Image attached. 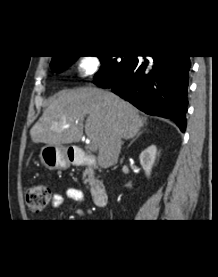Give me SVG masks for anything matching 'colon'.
Returning <instances> with one entry per match:
<instances>
[{
  "instance_id": "5ec220e1",
  "label": "colon",
  "mask_w": 218,
  "mask_h": 277,
  "mask_svg": "<svg viewBox=\"0 0 218 277\" xmlns=\"http://www.w3.org/2000/svg\"><path fill=\"white\" fill-rule=\"evenodd\" d=\"M50 198V188L42 184L28 187L25 193L26 204L32 212L43 211L48 205Z\"/></svg>"
}]
</instances>
